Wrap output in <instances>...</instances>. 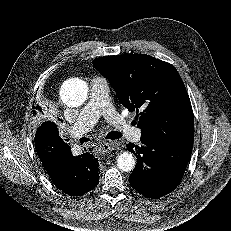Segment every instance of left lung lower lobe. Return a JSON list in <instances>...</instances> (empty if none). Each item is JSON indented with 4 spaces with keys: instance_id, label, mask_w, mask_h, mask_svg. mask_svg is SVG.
I'll use <instances>...</instances> for the list:
<instances>
[{
    "instance_id": "0a47b994",
    "label": "left lung lower lobe",
    "mask_w": 231,
    "mask_h": 231,
    "mask_svg": "<svg viewBox=\"0 0 231 231\" xmlns=\"http://www.w3.org/2000/svg\"><path fill=\"white\" fill-rule=\"evenodd\" d=\"M141 143L126 145L137 156L130 183L146 197H162L180 183L192 149H177L157 139H141Z\"/></svg>"
}]
</instances>
